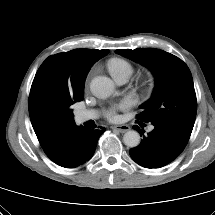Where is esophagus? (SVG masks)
I'll return each mask as SVG.
<instances>
[{"label":"esophagus","mask_w":215,"mask_h":215,"mask_svg":"<svg viewBox=\"0 0 215 215\" xmlns=\"http://www.w3.org/2000/svg\"><path fill=\"white\" fill-rule=\"evenodd\" d=\"M112 129L117 130L121 133H125L130 130V127L128 125H116L113 126Z\"/></svg>","instance_id":"1"}]
</instances>
